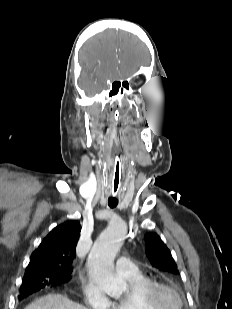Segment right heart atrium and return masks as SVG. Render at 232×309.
<instances>
[{
	"mask_svg": "<svg viewBox=\"0 0 232 309\" xmlns=\"http://www.w3.org/2000/svg\"><path fill=\"white\" fill-rule=\"evenodd\" d=\"M82 291L85 303L92 309H111L112 302L95 282L83 280Z\"/></svg>",
	"mask_w": 232,
	"mask_h": 309,
	"instance_id": "obj_1",
	"label": "right heart atrium"
}]
</instances>
